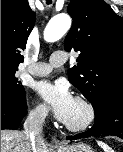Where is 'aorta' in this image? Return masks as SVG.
Segmentation results:
<instances>
[{
  "label": "aorta",
  "mask_w": 123,
  "mask_h": 152,
  "mask_svg": "<svg viewBox=\"0 0 123 152\" xmlns=\"http://www.w3.org/2000/svg\"><path fill=\"white\" fill-rule=\"evenodd\" d=\"M71 27V18L67 14H59L53 17L44 30V39L47 42H55Z\"/></svg>",
  "instance_id": "762f6f07"
}]
</instances>
